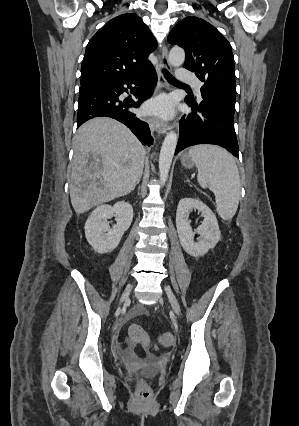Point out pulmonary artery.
Returning <instances> with one entry per match:
<instances>
[{
	"instance_id": "e3ab8cb5",
	"label": "pulmonary artery",
	"mask_w": 299,
	"mask_h": 426,
	"mask_svg": "<svg viewBox=\"0 0 299 426\" xmlns=\"http://www.w3.org/2000/svg\"><path fill=\"white\" fill-rule=\"evenodd\" d=\"M178 78L182 81L191 83L197 94L200 95L202 84L196 77L188 74L184 69L180 68L178 70Z\"/></svg>"
}]
</instances>
